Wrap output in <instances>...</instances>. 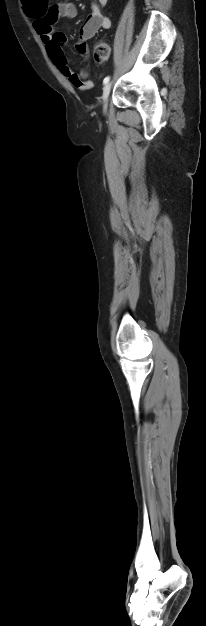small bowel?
Returning <instances> with one entry per match:
<instances>
[{
	"label": "small bowel",
	"mask_w": 206,
	"mask_h": 626,
	"mask_svg": "<svg viewBox=\"0 0 206 626\" xmlns=\"http://www.w3.org/2000/svg\"><path fill=\"white\" fill-rule=\"evenodd\" d=\"M108 0H97L91 3V12L79 31V39L76 43L77 51L87 54L86 42L99 30L109 29L111 20L103 15L100 8L107 4ZM26 13L33 19V26L46 47V51L58 68L60 73L77 89L87 91L94 87V82L88 79L86 70L74 72L68 65L63 52L66 36L61 31H55L52 27L60 19H73L77 16L74 4L62 2L50 5L47 0H33L24 3Z\"/></svg>",
	"instance_id": "c3829d8e"
}]
</instances>
